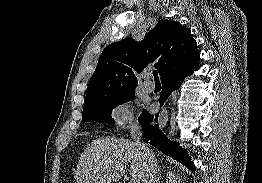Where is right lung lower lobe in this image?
Segmentation results:
<instances>
[{
  "mask_svg": "<svg viewBox=\"0 0 262 183\" xmlns=\"http://www.w3.org/2000/svg\"><path fill=\"white\" fill-rule=\"evenodd\" d=\"M199 65H195L192 68L182 71L180 73L171 75L162 80V91L160 93V107L164 104L169 95L180 87L183 79L186 76L191 75L194 70H198ZM158 114L155 116L150 115L149 112L143 111L142 115L139 117L140 125L142 126V130L144 132L146 142H149L152 146L159 149L164 154L171 156L176 159L183 165H185L190 170L194 171V164L191 162L190 157L186 153L184 149L178 146L177 143H173L168 140L167 137L162 133L159 129L157 122Z\"/></svg>",
  "mask_w": 262,
  "mask_h": 183,
  "instance_id": "1",
  "label": "right lung lower lobe"
}]
</instances>
